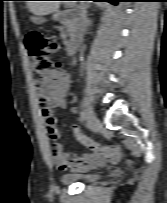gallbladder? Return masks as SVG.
<instances>
[{
    "label": "gallbladder",
    "mask_w": 167,
    "mask_h": 203,
    "mask_svg": "<svg viewBox=\"0 0 167 203\" xmlns=\"http://www.w3.org/2000/svg\"><path fill=\"white\" fill-rule=\"evenodd\" d=\"M32 21L35 23V24H42L44 23L46 20L42 17H33L32 18Z\"/></svg>",
    "instance_id": "bac80fb5"
}]
</instances>
